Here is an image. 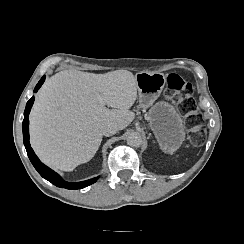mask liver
Listing matches in <instances>:
<instances>
[{
  "label": "liver",
  "instance_id": "1",
  "mask_svg": "<svg viewBox=\"0 0 244 244\" xmlns=\"http://www.w3.org/2000/svg\"><path fill=\"white\" fill-rule=\"evenodd\" d=\"M100 94L105 105L99 104ZM135 76L128 70L94 74L64 70L46 80L30 114V142L51 168L73 171L90 161L102 141V126L126 128L135 118Z\"/></svg>",
  "mask_w": 244,
  "mask_h": 244
}]
</instances>
